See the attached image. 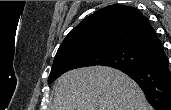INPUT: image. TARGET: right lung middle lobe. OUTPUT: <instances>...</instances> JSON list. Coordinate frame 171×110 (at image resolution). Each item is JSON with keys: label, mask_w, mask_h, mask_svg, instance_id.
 Instances as JSON below:
<instances>
[{"label": "right lung middle lobe", "mask_w": 171, "mask_h": 110, "mask_svg": "<svg viewBox=\"0 0 171 110\" xmlns=\"http://www.w3.org/2000/svg\"><path fill=\"white\" fill-rule=\"evenodd\" d=\"M153 56L124 46L87 45L66 49L56 54L48 82L63 73L80 67L104 65L116 69L137 68L148 64Z\"/></svg>", "instance_id": "right-lung-middle-lobe-1"}]
</instances>
